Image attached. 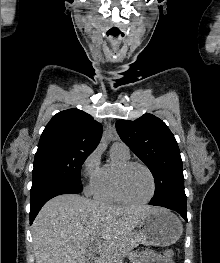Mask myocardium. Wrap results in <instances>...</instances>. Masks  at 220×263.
<instances>
[{
    "label": "myocardium",
    "instance_id": "1",
    "mask_svg": "<svg viewBox=\"0 0 220 263\" xmlns=\"http://www.w3.org/2000/svg\"><path fill=\"white\" fill-rule=\"evenodd\" d=\"M134 166H139L141 168H143L149 175L150 179H151V192L149 194V196L143 200H132L130 199L124 191L123 188V177L124 174L126 173L127 170H129L130 168L134 167ZM114 186H115V191L118 195V197L121 199L122 202L127 203V204H131V205H142V204H146L148 202H150L152 200V198L155 195L156 192V179L155 176L153 174V172L151 171V169L145 165L144 163L141 162H137V161H126L123 162L121 164H119L114 172Z\"/></svg>",
    "mask_w": 220,
    "mask_h": 263
}]
</instances>
